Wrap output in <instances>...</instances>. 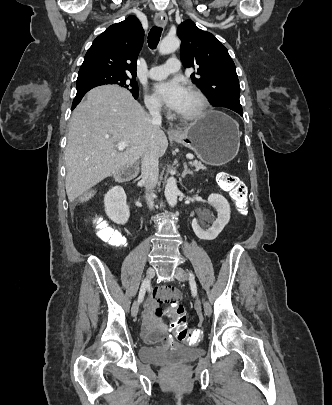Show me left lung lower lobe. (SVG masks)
Wrapping results in <instances>:
<instances>
[{"mask_svg":"<svg viewBox=\"0 0 332 405\" xmlns=\"http://www.w3.org/2000/svg\"><path fill=\"white\" fill-rule=\"evenodd\" d=\"M235 112H237V113H239L240 115H242V114H243L242 107H241V108H239V109H237V110H235Z\"/></svg>","mask_w":332,"mask_h":405,"instance_id":"obj_1","label":"left lung lower lobe"}]
</instances>
